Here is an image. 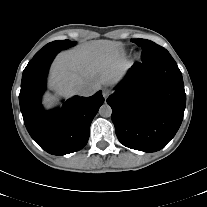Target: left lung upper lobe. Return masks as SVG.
<instances>
[{
	"instance_id": "5c2ea615",
	"label": "left lung upper lobe",
	"mask_w": 207,
	"mask_h": 207,
	"mask_svg": "<svg viewBox=\"0 0 207 207\" xmlns=\"http://www.w3.org/2000/svg\"><path fill=\"white\" fill-rule=\"evenodd\" d=\"M132 42L142 47V62H154L162 59L172 58L170 53L164 47L150 40L138 38L133 39Z\"/></svg>"
}]
</instances>
